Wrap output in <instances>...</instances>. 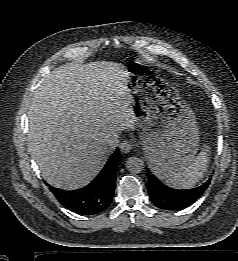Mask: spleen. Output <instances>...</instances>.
Masks as SVG:
<instances>
[{"label": "spleen", "instance_id": "obj_1", "mask_svg": "<svg viewBox=\"0 0 238 261\" xmlns=\"http://www.w3.org/2000/svg\"><path fill=\"white\" fill-rule=\"evenodd\" d=\"M209 162V147L205 146L196 158L180 173L166 180V184L176 189H190L203 177Z\"/></svg>", "mask_w": 238, "mask_h": 261}]
</instances>
